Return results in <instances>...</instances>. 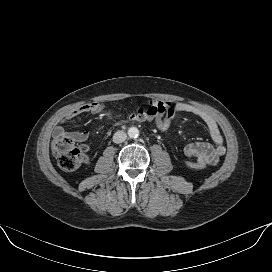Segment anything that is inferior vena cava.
<instances>
[{
	"label": "inferior vena cava",
	"instance_id": "602c4592",
	"mask_svg": "<svg viewBox=\"0 0 272 272\" xmlns=\"http://www.w3.org/2000/svg\"><path fill=\"white\" fill-rule=\"evenodd\" d=\"M127 139V135L124 131H117L113 135V142L114 143H122Z\"/></svg>",
	"mask_w": 272,
	"mask_h": 272
}]
</instances>
